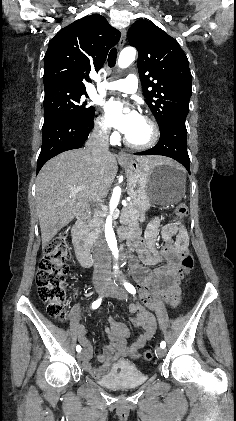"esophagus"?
Listing matches in <instances>:
<instances>
[{
	"mask_svg": "<svg viewBox=\"0 0 236 421\" xmlns=\"http://www.w3.org/2000/svg\"><path fill=\"white\" fill-rule=\"evenodd\" d=\"M125 38H126V30H122L121 31V38H120V41H119V49L123 48V46L125 44ZM129 158L130 157L124 151H120L117 155V159L121 160V161H128Z\"/></svg>",
	"mask_w": 236,
	"mask_h": 421,
	"instance_id": "esophagus-1",
	"label": "esophagus"
}]
</instances>
